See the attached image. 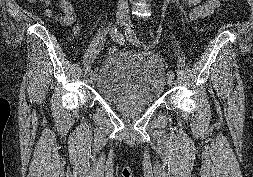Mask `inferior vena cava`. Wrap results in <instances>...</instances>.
I'll list each match as a JSON object with an SVG mask.
<instances>
[{
	"label": "inferior vena cava",
	"mask_w": 253,
	"mask_h": 177,
	"mask_svg": "<svg viewBox=\"0 0 253 177\" xmlns=\"http://www.w3.org/2000/svg\"><path fill=\"white\" fill-rule=\"evenodd\" d=\"M118 5L120 7H125L128 5V0H118Z\"/></svg>",
	"instance_id": "inferior-vena-cava-1"
}]
</instances>
